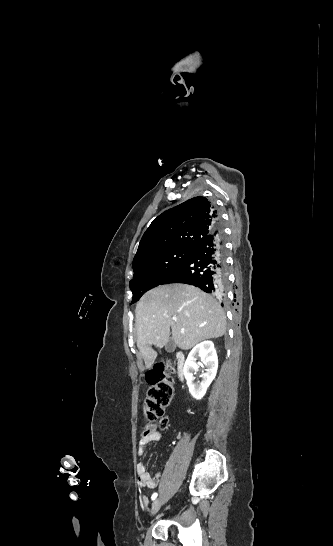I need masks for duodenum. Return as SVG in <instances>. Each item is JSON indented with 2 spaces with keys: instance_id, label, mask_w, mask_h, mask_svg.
Instances as JSON below:
<instances>
[{
  "instance_id": "obj_1",
  "label": "duodenum",
  "mask_w": 333,
  "mask_h": 546,
  "mask_svg": "<svg viewBox=\"0 0 333 546\" xmlns=\"http://www.w3.org/2000/svg\"><path fill=\"white\" fill-rule=\"evenodd\" d=\"M182 365H183V359L182 357H178V376L182 377Z\"/></svg>"
}]
</instances>
